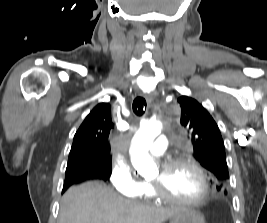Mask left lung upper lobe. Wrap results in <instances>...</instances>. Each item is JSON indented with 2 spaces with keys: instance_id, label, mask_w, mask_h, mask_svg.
<instances>
[{
  "instance_id": "5c2ea615",
  "label": "left lung upper lobe",
  "mask_w": 267,
  "mask_h": 223,
  "mask_svg": "<svg viewBox=\"0 0 267 223\" xmlns=\"http://www.w3.org/2000/svg\"><path fill=\"white\" fill-rule=\"evenodd\" d=\"M181 125L189 132L195 158L212 173L218 191H224V183L229 179L225 147L220 130L208 111L196 100L181 96Z\"/></svg>"
}]
</instances>
